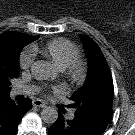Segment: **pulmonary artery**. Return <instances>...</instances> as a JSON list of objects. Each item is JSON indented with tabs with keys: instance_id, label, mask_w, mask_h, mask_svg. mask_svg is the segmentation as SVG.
I'll use <instances>...</instances> for the list:
<instances>
[{
	"instance_id": "e3ab8cb5",
	"label": "pulmonary artery",
	"mask_w": 135,
	"mask_h": 135,
	"mask_svg": "<svg viewBox=\"0 0 135 135\" xmlns=\"http://www.w3.org/2000/svg\"><path fill=\"white\" fill-rule=\"evenodd\" d=\"M35 92H37V89L35 87L22 86V87H14L11 90V95L15 96L18 94H34ZM71 118H72V116H71Z\"/></svg>"
}]
</instances>
